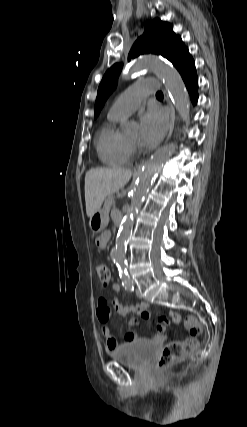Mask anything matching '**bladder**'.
Here are the masks:
<instances>
[{
  "mask_svg": "<svg viewBox=\"0 0 247 427\" xmlns=\"http://www.w3.org/2000/svg\"><path fill=\"white\" fill-rule=\"evenodd\" d=\"M156 352V345L147 340H134L113 351L111 358L133 369L145 368Z\"/></svg>",
  "mask_w": 247,
  "mask_h": 427,
  "instance_id": "31cf9c89",
  "label": "bladder"
}]
</instances>
